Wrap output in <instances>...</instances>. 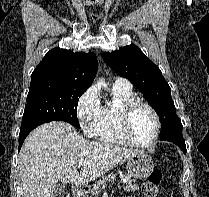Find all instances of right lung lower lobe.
<instances>
[{"instance_id": "98d812e1", "label": "right lung lower lobe", "mask_w": 209, "mask_h": 197, "mask_svg": "<svg viewBox=\"0 0 209 197\" xmlns=\"http://www.w3.org/2000/svg\"><path fill=\"white\" fill-rule=\"evenodd\" d=\"M46 123V122H45ZM43 123H40V124H35V125H31V126H28L26 128H23L20 130V134H19V150L21 149V146L24 142V139L27 137V135L34 129L36 128L37 126L41 125Z\"/></svg>"}]
</instances>
